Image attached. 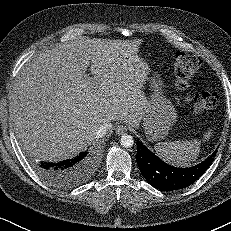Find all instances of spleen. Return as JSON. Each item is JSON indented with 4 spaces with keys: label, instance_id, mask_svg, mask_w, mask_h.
<instances>
[{
    "label": "spleen",
    "instance_id": "obj_1",
    "mask_svg": "<svg viewBox=\"0 0 231 231\" xmlns=\"http://www.w3.org/2000/svg\"><path fill=\"white\" fill-rule=\"evenodd\" d=\"M212 133V129H209L204 134L203 141L208 140ZM200 145L201 141L199 140H178L157 143L154 149L165 162L180 167H188L198 158Z\"/></svg>",
    "mask_w": 231,
    "mask_h": 231
}]
</instances>
